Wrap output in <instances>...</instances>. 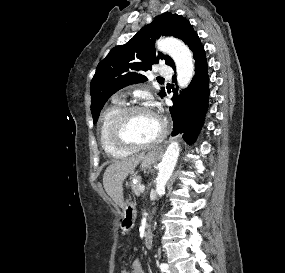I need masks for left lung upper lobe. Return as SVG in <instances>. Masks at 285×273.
Returning <instances> with one entry per match:
<instances>
[{"instance_id": "1", "label": "left lung upper lobe", "mask_w": 285, "mask_h": 273, "mask_svg": "<svg viewBox=\"0 0 285 273\" xmlns=\"http://www.w3.org/2000/svg\"><path fill=\"white\" fill-rule=\"evenodd\" d=\"M193 32L195 31L187 19L166 12L144 26L126 44L114 47L99 63L90 84L94 124L106 101L116 91L132 83L147 81L143 72L150 70L152 64L164 59L167 65H175L171 57L156 52L154 43L157 38L174 36L187 43ZM158 95H165L164 88Z\"/></svg>"}]
</instances>
